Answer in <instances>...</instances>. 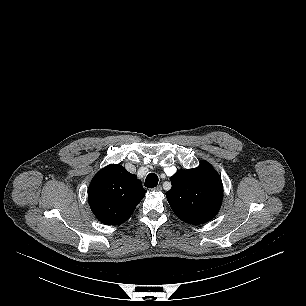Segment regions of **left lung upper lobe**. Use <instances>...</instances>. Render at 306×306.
<instances>
[{
	"label": "left lung upper lobe",
	"instance_id": "5c2ea615",
	"mask_svg": "<svg viewBox=\"0 0 306 306\" xmlns=\"http://www.w3.org/2000/svg\"><path fill=\"white\" fill-rule=\"evenodd\" d=\"M172 188L166 194L173 212L186 223L198 225L218 213L223 198L219 174L202 162L194 169L178 170L171 177Z\"/></svg>",
	"mask_w": 306,
	"mask_h": 306
}]
</instances>
